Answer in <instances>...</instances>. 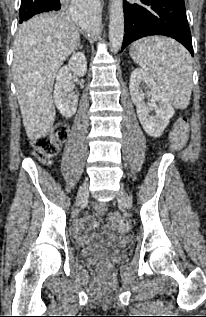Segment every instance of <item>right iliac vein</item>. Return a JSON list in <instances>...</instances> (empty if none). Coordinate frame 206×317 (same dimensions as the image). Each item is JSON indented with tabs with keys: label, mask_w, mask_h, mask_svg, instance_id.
I'll return each mask as SVG.
<instances>
[{
	"label": "right iliac vein",
	"mask_w": 206,
	"mask_h": 317,
	"mask_svg": "<svg viewBox=\"0 0 206 317\" xmlns=\"http://www.w3.org/2000/svg\"><path fill=\"white\" fill-rule=\"evenodd\" d=\"M88 197V184L84 183L77 194L76 206H80V204Z\"/></svg>",
	"instance_id": "1"
}]
</instances>
